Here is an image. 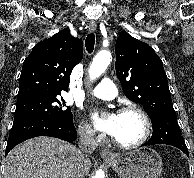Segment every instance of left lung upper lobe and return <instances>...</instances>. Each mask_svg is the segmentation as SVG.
Instances as JSON below:
<instances>
[{
  "instance_id": "5c2ea615",
  "label": "left lung upper lobe",
  "mask_w": 194,
  "mask_h": 178,
  "mask_svg": "<svg viewBox=\"0 0 194 178\" xmlns=\"http://www.w3.org/2000/svg\"><path fill=\"white\" fill-rule=\"evenodd\" d=\"M116 74L124 94L150 118L174 111L163 62L146 43L122 31L117 38Z\"/></svg>"
}]
</instances>
